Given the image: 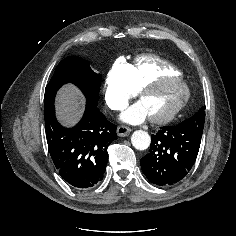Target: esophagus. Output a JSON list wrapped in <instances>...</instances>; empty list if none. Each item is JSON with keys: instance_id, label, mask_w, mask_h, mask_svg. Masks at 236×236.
<instances>
[{"instance_id": "1", "label": "esophagus", "mask_w": 236, "mask_h": 236, "mask_svg": "<svg viewBox=\"0 0 236 236\" xmlns=\"http://www.w3.org/2000/svg\"><path fill=\"white\" fill-rule=\"evenodd\" d=\"M131 132V128L121 125L117 128V134L120 137L127 136Z\"/></svg>"}]
</instances>
